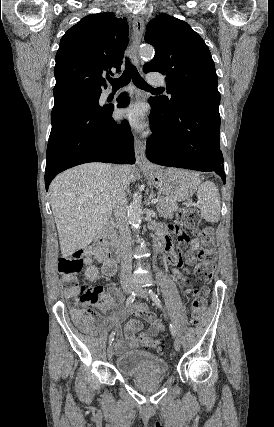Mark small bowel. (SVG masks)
<instances>
[{
	"label": "small bowel",
	"mask_w": 274,
	"mask_h": 427,
	"mask_svg": "<svg viewBox=\"0 0 274 427\" xmlns=\"http://www.w3.org/2000/svg\"><path fill=\"white\" fill-rule=\"evenodd\" d=\"M158 224L153 225V230L155 232L158 230ZM110 245L105 244H93L87 247L84 250V264L86 265L85 279L88 282H94L100 274L110 277L114 275L117 269V259L110 252ZM205 257L215 256V251H200L198 244L192 246V250L186 251L183 255L178 254L174 251H170L169 255L166 258V262L172 266L181 268L184 264L193 265L196 262V257ZM97 262V266L94 262ZM209 263L207 261H198L196 263V272L195 275L197 278H200L202 284H210L213 282V271L209 268ZM176 282L178 284H184L186 288L192 289L194 292L198 291V288L195 287V282L191 280L190 277L186 275H178L176 277ZM113 302V297L110 293H104L101 289V293L95 302L96 307L103 311L111 310ZM139 311H146V301H138ZM136 305L131 308V311L135 312ZM149 311V310H148ZM150 313V322L151 326L145 332H142L140 335L138 333L142 328V321L139 318H131L127 321L124 333L118 332L114 340V351L117 354H122L127 351L136 349L141 344V339L146 337H154L158 335L163 329L164 324L156 317L153 313ZM125 311L122 309L112 310L111 312V321L118 324L121 320L125 318ZM71 316L74 322L79 326V328L87 333L94 334L97 332H104L108 329V321L102 317L98 312L89 309L87 307H75L71 310Z\"/></svg>",
	"instance_id": "small-bowel-1"
}]
</instances>
